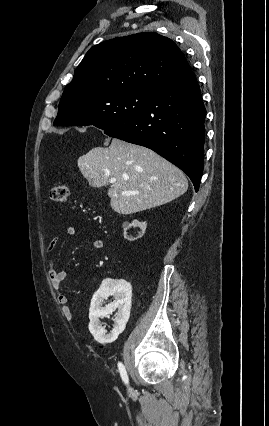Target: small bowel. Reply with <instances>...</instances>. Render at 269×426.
Returning a JSON list of instances; mask_svg holds the SVG:
<instances>
[{
  "label": "small bowel",
  "mask_w": 269,
  "mask_h": 426,
  "mask_svg": "<svg viewBox=\"0 0 269 426\" xmlns=\"http://www.w3.org/2000/svg\"><path fill=\"white\" fill-rule=\"evenodd\" d=\"M77 230L74 226H69L67 228V234L69 236H74L76 234ZM58 244V238H53L48 246H47V252H51L56 245ZM91 247L94 250H100L103 248V241L100 239H93L91 242ZM67 271L64 269L59 270L56 267V264L54 260L49 261V270H48V276L49 280L51 282L52 287L54 288L56 292V300L59 306L61 307L62 313L65 317L71 316V310L69 308V299L68 297L61 292V283L67 278Z\"/></svg>",
  "instance_id": "1"
}]
</instances>
